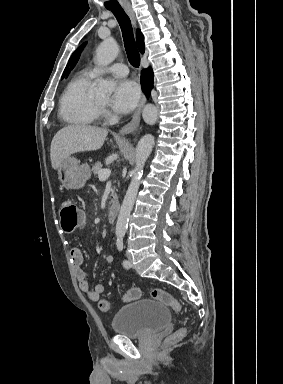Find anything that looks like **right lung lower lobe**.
I'll return each mask as SVG.
<instances>
[{
    "label": "right lung lower lobe",
    "instance_id": "right-lung-lower-lobe-1",
    "mask_svg": "<svg viewBox=\"0 0 283 384\" xmlns=\"http://www.w3.org/2000/svg\"><path fill=\"white\" fill-rule=\"evenodd\" d=\"M153 72L151 68L144 69L141 72V87L146 96L150 95L153 87Z\"/></svg>",
    "mask_w": 283,
    "mask_h": 384
}]
</instances>
